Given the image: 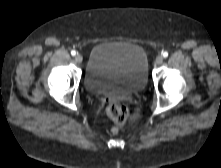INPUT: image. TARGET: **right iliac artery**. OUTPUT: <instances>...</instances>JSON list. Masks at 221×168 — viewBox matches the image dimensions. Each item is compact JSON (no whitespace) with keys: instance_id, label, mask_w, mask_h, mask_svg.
Here are the masks:
<instances>
[{"instance_id":"obj_1","label":"right iliac artery","mask_w":221,"mask_h":168,"mask_svg":"<svg viewBox=\"0 0 221 168\" xmlns=\"http://www.w3.org/2000/svg\"><path fill=\"white\" fill-rule=\"evenodd\" d=\"M71 55H72V56H75V55H76V51H75V50H72V51H71Z\"/></svg>"}]
</instances>
